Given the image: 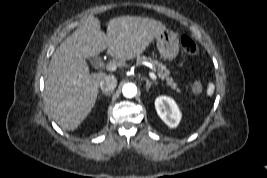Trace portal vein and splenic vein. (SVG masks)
<instances>
[{"label": "portal vein and splenic vein", "mask_w": 267, "mask_h": 178, "mask_svg": "<svg viewBox=\"0 0 267 178\" xmlns=\"http://www.w3.org/2000/svg\"><path fill=\"white\" fill-rule=\"evenodd\" d=\"M106 69L109 70V71H115L117 69V65L115 63H109V64L106 65ZM148 74H149V77L152 80H154V81L157 80V77L153 72L149 71Z\"/></svg>", "instance_id": "portal-vein-and-splenic-vein-1"}]
</instances>
